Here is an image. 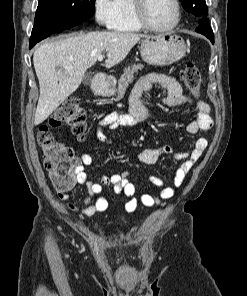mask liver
<instances>
[{
  "label": "liver",
  "instance_id": "obj_1",
  "mask_svg": "<svg viewBox=\"0 0 247 296\" xmlns=\"http://www.w3.org/2000/svg\"><path fill=\"white\" fill-rule=\"evenodd\" d=\"M144 35L125 32L94 31L72 35L38 47L33 64L40 96L34 124L44 122L80 86L87 69L106 51V68L123 61Z\"/></svg>",
  "mask_w": 247,
  "mask_h": 296
}]
</instances>
